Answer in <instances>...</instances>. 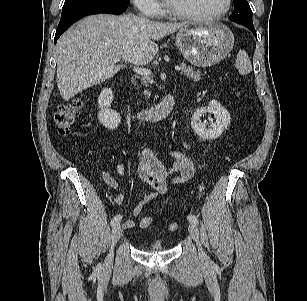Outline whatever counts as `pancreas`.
<instances>
[{
	"mask_svg": "<svg viewBox=\"0 0 307 301\" xmlns=\"http://www.w3.org/2000/svg\"><path fill=\"white\" fill-rule=\"evenodd\" d=\"M182 74L186 75L187 77H190L194 79L195 81L200 80L201 78V72L200 70H194L192 67L186 66L185 63H182ZM144 84H151L152 79L151 77H145L143 80ZM148 96L150 95L149 92H147Z\"/></svg>",
	"mask_w": 307,
	"mask_h": 301,
	"instance_id": "cf45deb5",
	"label": "pancreas"
}]
</instances>
